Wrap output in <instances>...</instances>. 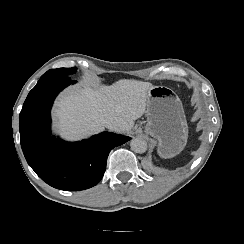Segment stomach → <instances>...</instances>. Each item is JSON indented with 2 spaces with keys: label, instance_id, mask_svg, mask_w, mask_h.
I'll use <instances>...</instances> for the list:
<instances>
[{
  "label": "stomach",
  "instance_id": "obj_1",
  "mask_svg": "<svg viewBox=\"0 0 244 244\" xmlns=\"http://www.w3.org/2000/svg\"><path fill=\"white\" fill-rule=\"evenodd\" d=\"M147 124L144 132L158 140V153L171 158L187 143L188 128L181 100L165 86H155L147 93Z\"/></svg>",
  "mask_w": 244,
  "mask_h": 244
}]
</instances>
